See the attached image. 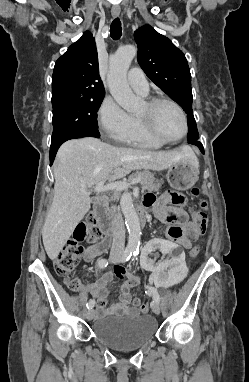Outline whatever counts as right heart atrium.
I'll list each match as a JSON object with an SVG mask.
<instances>
[{
	"instance_id": "right-heart-atrium-1",
	"label": "right heart atrium",
	"mask_w": 249,
	"mask_h": 382,
	"mask_svg": "<svg viewBox=\"0 0 249 382\" xmlns=\"http://www.w3.org/2000/svg\"><path fill=\"white\" fill-rule=\"evenodd\" d=\"M97 118L101 133L114 141L128 137L133 128L132 117L109 96L102 101Z\"/></svg>"
}]
</instances>
